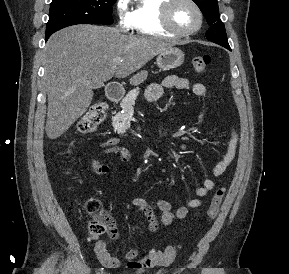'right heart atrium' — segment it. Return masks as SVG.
<instances>
[{
    "label": "right heart atrium",
    "mask_w": 289,
    "mask_h": 274,
    "mask_svg": "<svg viewBox=\"0 0 289 274\" xmlns=\"http://www.w3.org/2000/svg\"><path fill=\"white\" fill-rule=\"evenodd\" d=\"M115 10L118 17L119 26L124 30L130 29L132 23L131 15L128 10V0H116Z\"/></svg>",
    "instance_id": "right-heart-atrium-1"
}]
</instances>
